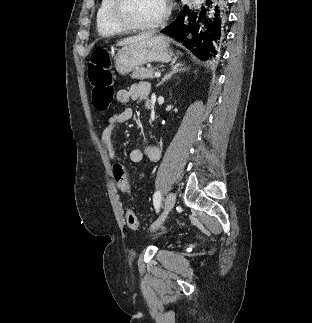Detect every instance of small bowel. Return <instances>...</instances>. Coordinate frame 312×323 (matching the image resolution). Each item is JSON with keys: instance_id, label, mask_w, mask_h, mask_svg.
Wrapping results in <instances>:
<instances>
[{"instance_id": "1", "label": "small bowel", "mask_w": 312, "mask_h": 323, "mask_svg": "<svg viewBox=\"0 0 312 323\" xmlns=\"http://www.w3.org/2000/svg\"><path fill=\"white\" fill-rule=\"evenodd\" d=\"M150 91V84L146 81H140L132 84L127 89H119L116 92V100L121 104H127L131 101H138L146 98L147 94H150ZM132 117L133 110L126 107L113 113L103 126L101 142L111 161L116 160V151L112 140L113 132L119 125L130 121ZM144 158H147L151 162H157L160 159V149L156 146H147L144 148L137 147L130 151V160L132 162L139 163Z\"/></svg>"}]
</instances>
